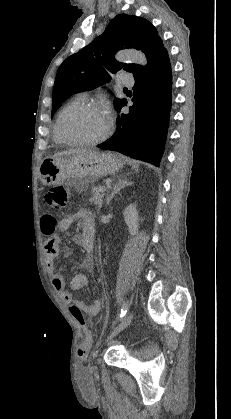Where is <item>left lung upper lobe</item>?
I'll use <instances>...</instances> for the list:
<instances>
[{"instance_id":"1","label":"left lung upper lobe","mask_w":231,"mask_h":419,"mask_svg":"<svg viewBox=\"0 0 231 419\" xmlns=\"http://www.w3.org/2000/svg\"><path fill=\"white\" fill-rule=\"evenodd\" d=\"M124 48H135L144 52L148 60L147 66L115 61V53ZM164 51L166 48L149 21L127 14L116 16L100 36L60 65L53 88L52 114L72 94L92 90L110 81L109 73L125 70L133 73L134 77L141 74ZM122 101L115 99L116 109Z\"/></svg>"}]
</instances>
